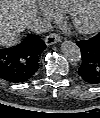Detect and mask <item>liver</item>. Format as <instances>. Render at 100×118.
I'll return each instance as SVG.
<instances>
[{"label": "liver", "instance_id": "liver-1", "mask_svg": "<svg viewBox=\"0 0 100 118\" xmlns=\"http://www.w3.org/2000/svg\"><path fill=\"white\" fill-rule=\"evenodd\" d=\"M36 17V0H0V42L13 46Z\"/></svg>", "mask_w": 100, "mask_h": 118}]
</instances>
